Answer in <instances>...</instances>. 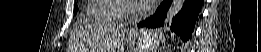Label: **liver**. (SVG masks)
I'll use <instances>...</instances> for the list:
<instances>
[{
	"label": "liver",
	"instance_id": "6515ba94",
	"mask_svg": "<svg viewBox=\"0 0 261 52\" xmlns=\"http://www.w3.org/2000/svg\"><path fill=\"white\" fill-rule=\"evenodd\" d=\"M93 32H96L101 39L97 50L104 52L108 48L117 47L123 44L126 31L122 28L109 24L94 25Z\"/></svg>",
	"mask_w": 261,
	"mask_h": 52
}]
</instances>
